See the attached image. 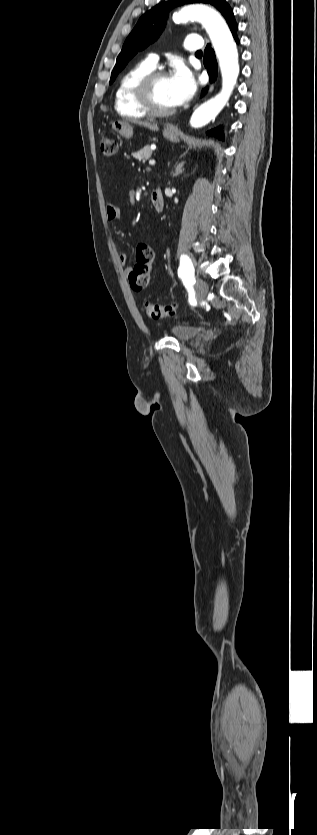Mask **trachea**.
I'll list each match as a JSON object with an SVG mask.
<instances>
[{
	"mask_svg": "<svg viewBox=\"0 0 317 835\" xmlns=\"http://www.w3.org/2000/svg\"><path fill=\"white\" fill-rule=\"evenodd\" d=\"M196 55H202V51H197Z\"/></svg>",
	"mask_w": 317,
	"mask_h": 835,
	"instance_id": "obj_1",
	"label": "trachea"
}]
</instances>
